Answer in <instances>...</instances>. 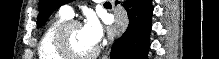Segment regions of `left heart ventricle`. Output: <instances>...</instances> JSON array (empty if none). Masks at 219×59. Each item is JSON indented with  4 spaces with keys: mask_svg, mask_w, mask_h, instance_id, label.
<instances>
[{
    "mask_svg": "<svg viewBox=\"0 0 219 59\" xmlns=\"http://www.w3.org/2000/svg\"><path fill=\"white\" fill-rule=\"evenodd\" d=\"M70 48L77 54L91 52L96 46L90 43L82 31L81 26H74L68 34Z\"/></svg>",
    "mask_w": 219,
    "mask_h": 59,
    "instance_id": "b2bd125f",
    "label": "left heart ventricle"
}]
</instances>
